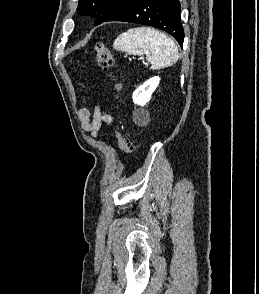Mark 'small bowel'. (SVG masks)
Instances as JSON below:
<instances>
[{
  "label": "small bowel",
  "instance_id": "small-bowel-1",
  "mask_svg": "<svg viewBox=\"0 0 259 294\" xmlns=\"http://www.w3.org/2000/svg\"><path fill=\"white\" fill-rule=\"evenodd\" d=\"M77 115L81 122L82 129L92 137L98 135L102 124L106 123L111 125L113 123V117L104 112L99 106H95L93 111H90L87 107H79Z\"/></svg>",
  "mask_w": 259,
  "mask_h": 294
}]
</instances>
